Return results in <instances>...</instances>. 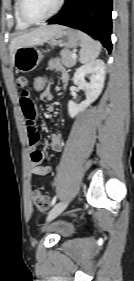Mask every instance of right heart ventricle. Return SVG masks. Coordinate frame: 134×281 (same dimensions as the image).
<instances>
[{"label": "right heart ventricle", "instance_id": "obj_1", "mask_svg": "<svg viewBox=\"0 0 134 281\" xmlns=\"http://www.w3.org/2000/svg\"><path fill=\"white\" fill-rule=\"evenodd\" d=\"M14 16H15V22H16L17 29L25 30L30 27L31 24L24 22L19 16L18 8H17V0H15V4H14Z\"/></svg>", "mask_w": 134, "mask_h": 281}]
</instances>
